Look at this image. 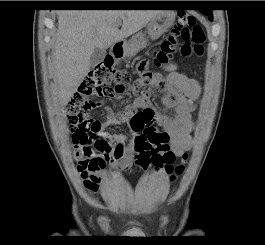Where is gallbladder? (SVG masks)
I'll return each instance as SVG.
<instances>
[{"label":"gallbladder","instance_id":"1","mask_svg":"<svg viewBox=\"0 0 265 245\" xmlns=\"http://www.w3.org/2000/svg\"><path fill=\"white\" fill-rule=\"evenodd\" d=\"M105 56H106V50L95 48L90 57V67L94 68L95 66L100 64L105 58Z\"/></svg>","mask_w":265,"mask_h":245}]
</instances>
